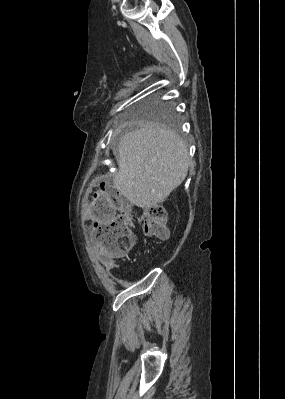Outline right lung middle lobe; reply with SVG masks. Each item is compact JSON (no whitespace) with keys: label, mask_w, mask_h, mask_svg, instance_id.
Listing matches in <instances>:
<instances>
[{"label":"right lung middle lobe","mask_w":285,"mask_h":399,"mask_svg":"<svg viewBox=\"0 0 285 399\" xmlns=\"http://www.w3.org/2000/svg\"><path fill=\"white\" fill-rule=\"evenodd\" d=\"M169 115L170 111L163 106L153 107L145 113L148 118L167 124L170 122Z\"/></svg>","instance_id":"right-lung-middle-lobe-1"}]
</instances>
